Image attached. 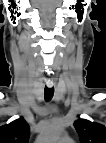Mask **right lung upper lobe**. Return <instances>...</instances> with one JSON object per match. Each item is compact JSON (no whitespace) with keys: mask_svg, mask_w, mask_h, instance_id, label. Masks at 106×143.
<instances>
[{"mask_svg":"<svg viewBox=\"0 0 106 143\" xmlns=\"http://www.w3.org/2000/svg\"><path fill=\"white\" fill-rule=\"evenodd\" d=\"M30 127L23 117L0 127V143H28Z\"/></svg>","mask_w":106,"mask_h":143,"instance_id":"1","label":"right lung upper lobe"}]
</instances>
